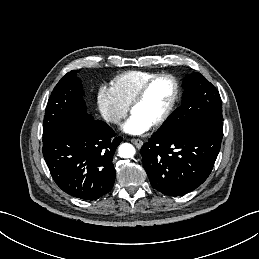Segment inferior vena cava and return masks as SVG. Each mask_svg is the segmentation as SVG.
Returning a JSON list of instances; mask_svg holds the SVG:
<instances>
[{
  "label": "inferior vena cava",
  "instance_id": "obj_1",
  "mask_svg": "<svg viewBox=\"0 0 259 259\" xmlns=\"http://www.w3.org/2000/svg\"><path fill=\"white\" fill-rule=\"evenodd\" d=\"M110 121L114 122V123H119L120 118L119 117H114V118H111Z\"/></svg>",
  "mask_w": 259,
  "mask_h": 259
}]
</instances>
